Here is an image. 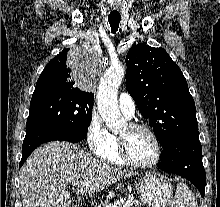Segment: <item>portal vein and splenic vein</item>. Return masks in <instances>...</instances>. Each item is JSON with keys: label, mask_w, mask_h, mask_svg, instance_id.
<instances>
[{"label": "portal vein and splenic vein", "mask_w": 220, "mask_h": 207, "mask_svg": "<svg viewBox=\"0 0 220 207\" xmlns=\"http://www.w3.org/2000/svg\"><path fill=\"white\" fill-rule=\"evenodd\" d=\"M78 184H79L78 180L72 181V186H77ZM122 204H124V200L120 199V200H117L113 203L108 204L106 207H120Z\"/></svg>", "instance_id": "obj_1"}]
</instances>
